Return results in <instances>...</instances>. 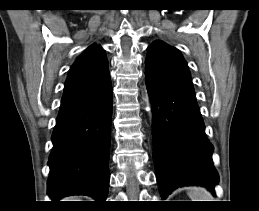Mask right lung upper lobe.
I'll return each mask as SVG.
<instances>
[{
  "instance_id": "right-lung-upper-lobe-1",
  "label": "right lung upper lobe",
  "mask_w": 259,
  "mask_h": 211,
  "mask_svg": "<svg viewBox=\"0 0 259 211\" xmlns=\"http://www.w3.org/2000/svg\"><path fill=\"white\" fill-rule=\"evenodd\" d=\"M111 84L108 61L97 45L88 47L69 70L61 105L91 97Z\"/></svg>"
}]
</instances>
